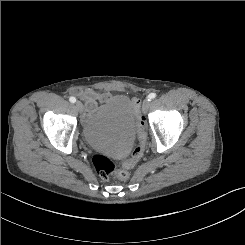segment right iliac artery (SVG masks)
I'll return each instance as SVG.
<instances>
[{"label": "right iliac artery", "mask_w": 245, "mask_h": 245, "mask_svg": "<svg viewBox=\"0 0 245 245\" xmlns=\"http://www.w3.org/2000/svg\"><path fill=\"white\" fill-rule=\"evenodd\" d=\"M69 101H70L71 103H75V102H76V98H75V97H70V98H69Z\"/></svg>", "instance_id": "right-iliac-artery-1"}]
</instances>
